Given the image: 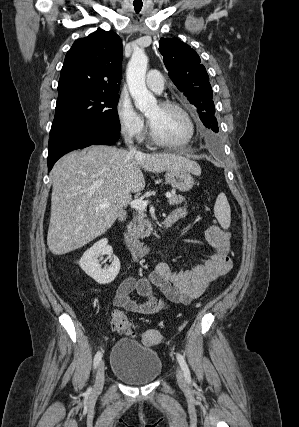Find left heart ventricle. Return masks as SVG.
Segmentation results:
<instances>
[{
    "label": "left heart ventricle",
    "mask_w": 299,
    "mask_h": 427,
    "mask_svg": "<svg viewBox=\"0 0 299 427\" xmlns=\"http://www.w3.org/2000/svg\"><path fill=\"white\" fill-rule=\"evenodd\" d=\"M147 117L156 134L169 141L183 140L188 134V125L184 117L176 110L153 106Z\"/></svg>",
    "instance_id": "left-heart-ventricle-1"
}]
</instances>
